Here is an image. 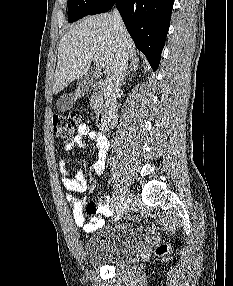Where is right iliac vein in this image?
Returning a JSON list of instances; mask_svg holds the SVG:
<instances>
[{"instance_id":"right-iliac-vein-1","label":"right iliac vein","mask_w":233,"mask_h":286,"mask_svg":"<svg viewBox=\"0 0 233 286\" xmlns=\"http://www.w3.org/2000/svg\"><path fill=\"white\" fill-rule=\"evenodd\" d=\"M120 197H121L120 202L116 207L115 220H119L123 216L125 210L128 207L129 200L132 197V193L130 192L128 188H124Z\"/></svg>"}]
</instances>
